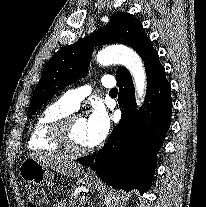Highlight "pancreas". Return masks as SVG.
Wrapping results in <instances>:
<instances>
[{
    "mask_svg": "<svg viewBox=\"0 0 206 207\" xmlns=\"http://www.w3.org/2000/svg\"><path fill=\"white\" fill-rule=\"evenodd\" d=\"M67 204L72 207H83V204L72 198L68 202L60 201L54 207H66Z\"/></svg>",
    "mask_w": 206,
    "mask_h": 207,
    "instance_id": "pancreas-1",
    "label": "pancreas"
}]
</instances>
